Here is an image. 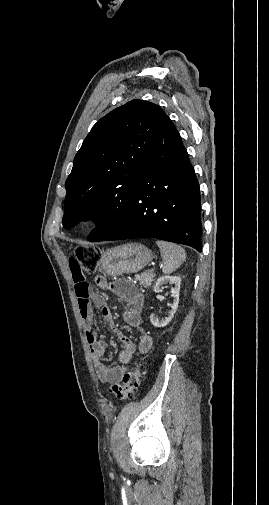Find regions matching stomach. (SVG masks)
<instances>
[{
  "label": "stomach",
  "mask_w": 269,
  "mask_h": 505,
  "mask_svg": "<svg viewBox=\"0 0 269 505\" xmlns=\"http://www.w3.org/2000/svg\"><path fill=\"white\" fill-rule=\"evenodd\" d=\"M153 259L150 249L140 243H127L102 252L101 270L110 277L136 273Z\"/></svg>",
  "instance_id": "1"
}]
</instances>
